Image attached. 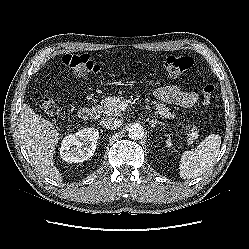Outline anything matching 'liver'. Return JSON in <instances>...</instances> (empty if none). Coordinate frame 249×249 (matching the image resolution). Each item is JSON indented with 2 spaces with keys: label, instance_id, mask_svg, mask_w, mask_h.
Returning a JSON list of instances; mask_svg holds the SVG:
<instances>
[{
  "label": "liver",
  "instance_id": "obj_1",
  "mask_svg": "<svg viewBox=\"0 0 249 249\" xmlns=\"http://www.w3.org/2000/svg\"><path fill=\"white\" fill-rule=\"evenodd\" d=\"M24 147L37 170L46 177L61 181L55 167L53 154L59 141V134L53 124L37 115L27 104H23L18 124Z\"/></svg>",
  "mask_w": 249,
  "mask_h": 249
}]
</instances>
